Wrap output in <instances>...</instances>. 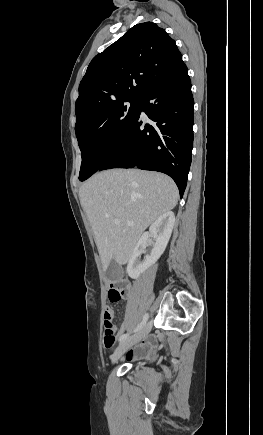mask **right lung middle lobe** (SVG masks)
I'll list each match as a JSON object with an SVG mask.
<instances>
[{"mask_svg": "<svg viewBox=\"0 0 263 435\" xmlns=\"http://www.w3.org/2000/svg\"><path fill=\"white\" fill-rule=\"evenodd\" d=\"M140 99H127L108 105L89 121L76 127L82 154L79 180L93 175L106 162L133 125Z\"/></svg>", "mask_w": 263, "mask_h": 435, "instance_id": "obj_1", "label": "right lung middle lobe"}]
</instances>
